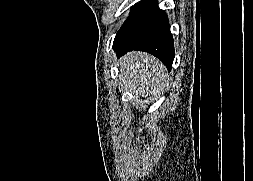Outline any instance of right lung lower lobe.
<instances>
[{"label":"right lung lower lobe","mask_w":253,"mask_h":181,"mask_svg":"<svg viewBox=\"0 0 253 181\" xmlns=\"http://www.w3.org/2000/svg\"><path fill=\"white\" fill-rule=\"evenodd\" d=\"M113 49L118 57L132 50L146 51L172 68L174 43L166 13L157 0H143L132 7L131 14L117 32Z\"/></svg>","instance_id":"1"}]
</instances>
